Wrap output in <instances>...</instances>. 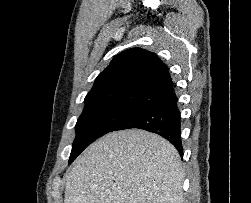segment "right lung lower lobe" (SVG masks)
Returning a JSON list of instances; mask_svg holds the SVG:
<instances>
[{
    "label": "right lung lower lobe",
    "instance_id": "1",
    "mask_svg": "<svg viewBox=\"0 0 251 203\" xmlns=\"http://www.w3.org/2000/svg\"><path fill=\"white\" fill-rule=\"evenodd\" d=\"M180 119L177 97L173 94L168 99L139 110L116 126L113 131L138 128L156 133L172 143L182 156Z\"/></svg>",
    "mask_w": 251,
    "mask_h": 203
}]
</instances>
